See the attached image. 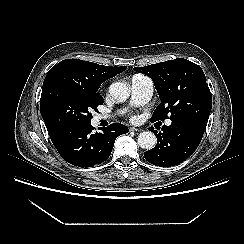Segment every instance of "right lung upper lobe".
<instances>
[{
    "label": "right lung upper lobe",
    "instance_id": "right-lung-upper-lobe-1",
    "mask_svg": "<svg viewBox=\"0 0 244 244\" xmlns=\"http://www.w3.org/2000/svg\"><path fill=\"white\" fill-rule=\"evenodd\" d=\"M125 69L126 66L110 67L79 59H66L47 73L43 84L58 78L90 97L101 99L102 96L97 93L100 85Z\"/></svg>",
    "mask_w": 244,
    "mask_h": 244
}]
</instances>
